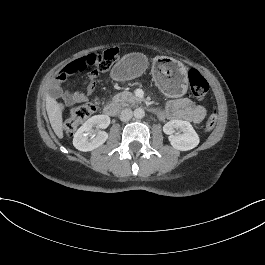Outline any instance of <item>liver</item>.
<instances>
[{
  "label": "liver",
  "mask_w": 265,
  "mask_h": 265,
  "mask_svg": "<svg viewBox=\"0 0 265 265\" xmlns=\"http://www.w3.org/2000/svg\"><path fill=\"white\" fill-rule=\"evenodd\" d=\"M46 110L52 129L58 138H63L62 109L57 101L50 95H46Z\"/></svg>",
  "instance_id": "liver-1"
}]
</instances>
